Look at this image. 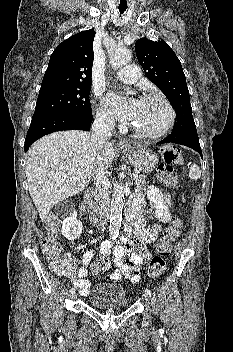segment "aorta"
<instances>
[{
	"instance_id": "762f6f07",
	"label": "aorta",
	"mask_w": 233,
	"mask_h": 352,
	"mask_svg": "<svg viewBox=\"0 0 233 352\" xmlns=\"http://www.w3.org/2000/svg\"><path fill=\"white\" fill-rule=\"evenodd\" d=\"M132 53L125 47H117L109 52V63L113 69H118L126 65L131 60ZM124 206V186L122 181L117 182L113 189L111 207H110V226L109 234L112 239L118 237L121 221L122 210Z\"/></svg>"
}]
</instances>
